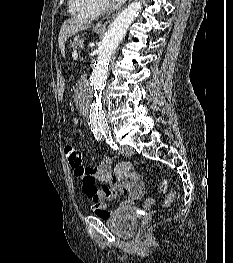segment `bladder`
Returning a JSON list of instances; mask_svg holds the SVG:
<instances>
[{"instance_id":"bladder-1","label":"bladder","mask_w":233,"mask_h":263,"mask_svg":"<svg viewBox=\"0 0 233 263\" xmlns=\"http://www.w3.org/2000/svg\"><path fill=\"white\" fill-rule=\"evenodd\" d=\"M106 223L117 235L132 237L138 225V214L132 208H118L106 219Z\"/></svg>"}]
</instances>
